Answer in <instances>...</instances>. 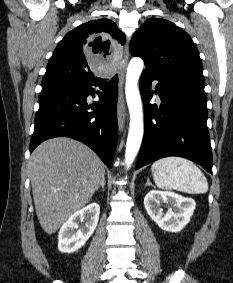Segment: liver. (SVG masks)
I'll return each mask as SVG.
<instances>
[{
	"mask_svg": "<svg viewBox=\"0 0 233 283\" xmlns=\"http://www.w3.org/2000/svg\"><path fill=\"white\" fill-rule=\"evenodd\" d=\"M29 167L36 214L47 234L90 201L105 174L103 162L89 147L67 137L40 144Z\"/></svg>",
	"mask_w": 233,
	"mask_h": 283,
	"instance_id": "6515ba94",
	"label": "liver"
}]
</instances>
